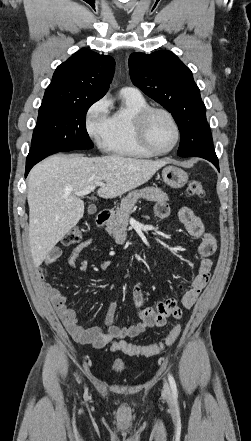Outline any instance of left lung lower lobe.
I'll list each match as a JSON object with an SVG mask.
<instances>
[{
  "mask_svg": "<svg viewBox=\"0 0 251 441\" xmlns=\"http://www.w3.org/2000/svg\"><path fill=\"white\" fill-rule=\"evenodd\" d=\"M180 141L182 147L178 150L179 156L207 159L219 170L208 123L197 124L192 130L182 134Z\"/></svg>",
  "mask_w": 251,
  "mask_h": 441,
  "instance_id": "0a47b994",
  "label": "left lung lower lobe"
}]
</instances>
